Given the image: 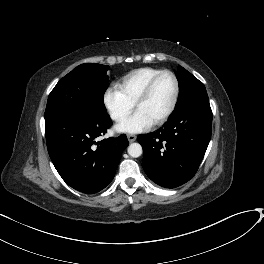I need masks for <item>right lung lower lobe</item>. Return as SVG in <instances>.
I'll return each mask as SVG.
<instances>
[{"instance_id": "right-lung-lower-lobe-1", "label": "right lung lower lobe", "mask_w": 264, "mask_h": 264, "mask_svg": "<svg viewBox=\"0 0 264 264\" xmlns=\"http://www.w3.org/2000/svg\"><path fill=\"white\" fill-rule=\"evenodd\" d=\"M112 125L107 113H82L45 120V136L50 158L72 188L92 194L113 179L126 135L96 142Z\"/></svg>"}]
</instances>
